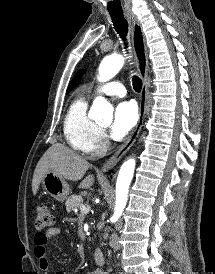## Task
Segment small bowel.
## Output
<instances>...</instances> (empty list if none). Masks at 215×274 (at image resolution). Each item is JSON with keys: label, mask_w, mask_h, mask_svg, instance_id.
I'll list each match as a JSON object with an SVG mask.
<instances>
[{"label": "small bowel", "mask_w": 215, "mask_h": 274, "mask_svg": "<svg viewBox=\"0 0 215 274\" xmlns=\"http://www.w3.org/2000/svg\"><path fill=\"white\" fill-rule=\"evenodd\" d=\"M62 230L60 228H50L46 232H39L35 234L34 243H35V256L39 261L40 268L46 274L50 272V263L48 259L47 246L50 243V240L55 236H61ZM56 274H65L64 272H56ZM88 274H105L100 270H95Z\"/></svg>", "instance_id": "1"}]
</instances>
